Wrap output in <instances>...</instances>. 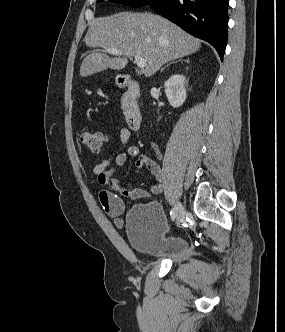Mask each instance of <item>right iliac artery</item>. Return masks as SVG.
Here are the masks:
<instances>
[{"instance_id": "82829eb1", "label": "right iliac artery", "mask_w": 285, "mask_h": 332, "mask_svg": "<svg viewBox=\"0 0 285 332\" xmlns=\"http://www.w3.org/2000/svg\"><path fill=\"white\" fill-rule=\"evenodd\" d=\"M170 216H171V219L174 221L175 218H176V210H175V208H172V210L170 212Z\"/></svg>"}]
</instances>
